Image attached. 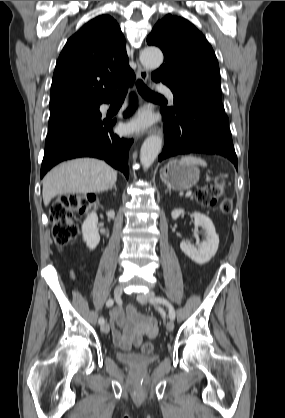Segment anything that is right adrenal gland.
<instances>
[{
	"mask_svg": "<svg viewBox=\"0 0 285 418\" xmlns=\"http://www.w3.org/2000/svg\"><path fill=\"white\" fill-rule=\"evenodd\" d=\"M113 189H114L115 191H117V187H116V185H114V186H113Z\"/></svg>",
	"mask_w": 285,
	"mask_h": 418,
	"instance_id": "obj_1",
	"label": "right adrenal gland"
}]
</instances>
